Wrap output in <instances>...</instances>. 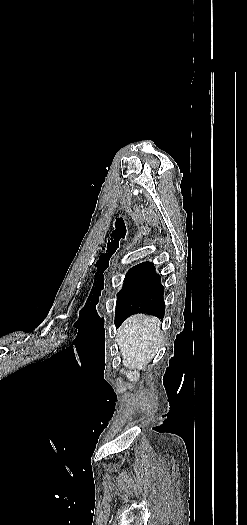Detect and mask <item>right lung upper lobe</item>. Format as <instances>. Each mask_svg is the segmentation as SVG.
I'll use <instances>...</instances> for the list:
<instances>
[{
    "mask_svg": "<svg viewBox=\"0 0 247 525\" xmlns=\"http://www.w3.org/2000/svg\"><path fill=\"white\" fill-rule=\"evenodd\" d=\"M151 264L149 262H143L141 264H138L136 266H134L133 268H131L129 271H134V270H139V269H144L148 266H150Z\"/></svg>",
    "mask_w": 247,
    "mask_h": 525,
    "instance_id": "obj_1",
    "label": "right lung upper lobe"
}]
</instances>
